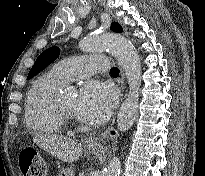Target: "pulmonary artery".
I'll use <instances>...</instances> for the list:
<instances>
[{"instance_id":"pulmonary-artery-1","label":"pulmonary artery","mask_w":205,"mask_h":176,"mask_svg":"<svg viewBox=\"0 0 205 176\" xmlns=\"http://www.w3.org/2000/svg\"><path fill=\"white\" fill-rule=\"evenodd\" d=\"M103 55L74 56L57 62L51 69L58 78L68 83L108 69Z\"/></svg>"}]
</instances>
